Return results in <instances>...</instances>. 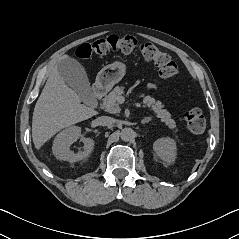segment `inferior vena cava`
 Here are the masks:
<instances>
[{
    "instance_id": "obj_1",
    "label": "inferior vena cava",
    "mask_w": 239,
    "mask_h": 239,
    "mask_svg": "<svg viewBox=\"0 0 239 239\" xmlns=\"http://www.w3.org/2000/svg\"><path fill=\"white\" fill-rule=\"evenodd\" d=\"M97 122L101 126H111L114 124L115 119L109 116H101L97 118Z\"/></svg>"
}]
</instances>
